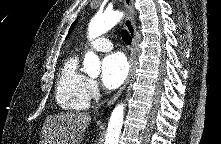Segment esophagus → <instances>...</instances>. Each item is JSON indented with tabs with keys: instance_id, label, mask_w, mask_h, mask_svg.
<instances>
[{
	"instance_id": "esophagus-1",
	"label": "esophagus",
	"mask_w": 221,
	"mask_h": 144,
	"mask_svg": "<svg viewBox=\"0 0 221 144\" xmlns=\"http://www.w3.org/2000/svg\"><path fill=\"white\" fill-rule=\"evenodd\" d=\"M124 3V7L126 9L127 15L125 18V27L128 30L131 39H132V43H131V52H130V57H129V73L128 76L125 80V82L123 83V85L120 87V89L112 96V98L109 100L107 106H111L112 104H114V102L120 97V95L122 94V92L124 91V89L126 88L130 77L132 75L133 72V68H134V60H135V56H136V28H135V24H134V8H133V0H123Z\"/></svg>"
}]
</instances>
